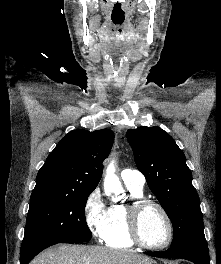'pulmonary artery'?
Masks as SVG:
<instances>
[{
  "label": "pulmonary artery",
  "instance_id": "e3ab8cb5",
  "mask_svg": "<svg viewBox=\"0 0 221 264\" xmlns=\"http://www.w3.org/2000/svg\"><path fill=\"white\" fill-rule=\"evenodd\" d=\"M121 178L126 185H132L136 188L143 189L145 176L139 170L127 168L121 172Z\"/></svg>",
  "mask_w": 221,
  "mask_h": 264
}]
</instances>
